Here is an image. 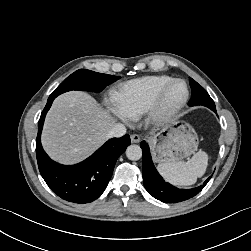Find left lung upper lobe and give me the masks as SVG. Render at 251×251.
<instances>
[{"instance_id":"left-lung-upper-lobe-1","label":"left lung upper lobe","mask_w":251,"mask_h":251,"mask_svg":"<svg viewBox=\"0 0 251 251\" xmlns=\"http://www.w3.org/2000/svg\"><path fill=\"white\" fill-rule=\"evenodd\" d=\"M189 83L192 89V96L189 106L203 105L210 108L211 110L216 109L214 101L202 86H200L192 78H189Z\"/></svg>"}]
</instances>
